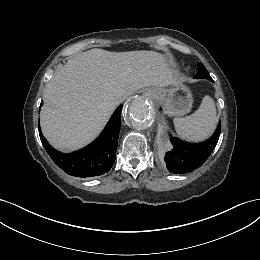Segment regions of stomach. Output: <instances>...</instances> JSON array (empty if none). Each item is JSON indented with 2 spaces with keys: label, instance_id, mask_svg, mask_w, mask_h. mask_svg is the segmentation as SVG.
Here are the masks:
<instances>
[{
  "label": "stomach",
  "instance_id": "0dacf381",
  "mask_svg": "<svg viewBox=\"0 0 260 260\" xmlns=\"http://www.w3.org/2000/svg\"><path fill=\"white\" fill-rule=\"evenodd\" d=\"M151 98L161 103L169 116H183L191 111L193 96L190 89L178 81L169 88L149 89Z\"/></svg>",
  "mask_w": 260,
  "mask_h": 260
}]
</instances>
